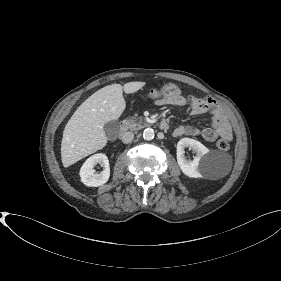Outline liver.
<instances>
[{
    "label": "liver",
    "mask_w": 281,
    "mask_h": 281,
    "mask_svg": "<svg viewBox=\"0 0 281 281\" xmlns=\"http://www.w3.org/2000/svg\"><path fill=\"white\" fill-rule=\"evenodd\" d=\"M145 82L134 81L105 86L88 97L74 112L63 131L61 159L69 167L107 144L104 125L117 120L126 108L123 90L135 93Z\"/></svg>",
    "instance_id": "1"
}]
</instances>
